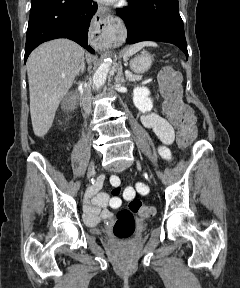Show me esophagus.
<instances>
[{"label":"esophagus","mask_w":240,"mask_h":288,"mask_svg":"<svg viewBox=\"0 0 240 288\" xmlns=\"http://www.w3.org/2000/svg\"><path fill=\"white\" fill-rule=\"evenodd\" d=\"M115 21V18L110 14L109 8L99 4L98 11L94 16L99 45L109 46L112 43Z\"/></svg>","instance_id":"obj_1"}]
</instances>
